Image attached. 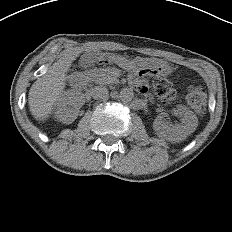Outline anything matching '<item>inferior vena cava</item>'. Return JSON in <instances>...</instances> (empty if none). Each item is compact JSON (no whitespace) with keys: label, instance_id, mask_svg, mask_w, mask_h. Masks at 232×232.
I'll return each mask as SVG.
<instances>
[{"label":"inferior vena cava","instance_id":"602c4592","mask_svg":"<svg viewBox=\"0 0 232 232\" xmlns=\"http://www.w3.org/2000/svg\"><path fill=\"white\" fill-rule=\"evenodd\" d=\"M92 95L95 99L106 100L109 97V92L105 86H95L92 90Z\"/></svg>","mask_w":232,"mask_h":232}]
</instances>
